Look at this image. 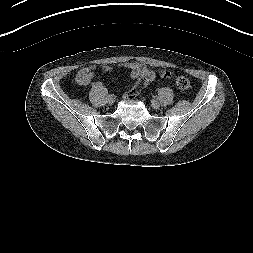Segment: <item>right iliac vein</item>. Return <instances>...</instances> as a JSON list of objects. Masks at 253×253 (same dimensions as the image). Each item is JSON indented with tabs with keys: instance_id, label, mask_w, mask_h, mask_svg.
<instances>
[{
	"instance_id": "63e3f726",
	"label": "right iliac vein",
	"mask_w": 253,
	"mask_h": 253,
	"mask_svg": "<svg viewBox=\"0 0 253 253\" xmlns=\"http://www.w3.org/2000/svg\"><path fill=\"white\" fill-rule=\"evenodd\" d=\"M115 102V99L113 97L108 98V104L113 105Z\"/></svg>"
}]
</instances>
